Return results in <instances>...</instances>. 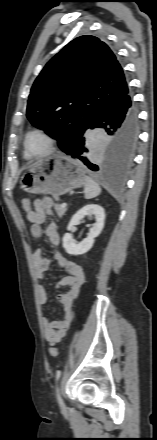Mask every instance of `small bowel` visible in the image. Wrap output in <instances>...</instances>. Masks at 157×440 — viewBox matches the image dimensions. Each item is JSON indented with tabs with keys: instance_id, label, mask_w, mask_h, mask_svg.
Segmentation results:
<instances>
[{
	"instance_id": "small-bowel-1",
	"label": "small bowel",
	"mask_w": 157,
	"mask_h": 440,
	"mask_svg": "<svg viewBox=\"0 0 157 440\" xmlns=\"http://www.w3.org/2000/svg\"><path fill=\"white\" fill-rule=\"evenodd\" d=\"M53 215V200L49 197L34 200L31 211L27 213V218L31 222L30 232L32 236L40 238L45 233L49 243L54 246L52 250L53 258L67 272V275L59 283V287L66 288L64 292L58 295V301L62 306V317L56 321H51L47 316L42 318L44 337L52 345L59 343L65 338L73 318V302L78 297L80 289L85 282L83 268L65 257L56 248L60 243V235L56 224L53 222L49 223L45 231H43L42 224L46 218ZM32 259L37 278L43 280L51 260L44 255L42 249L36 250ZM37 296L41 305L47 304L48 291L42 283L37 288Z\"/></svg>"
}]
</instances>
